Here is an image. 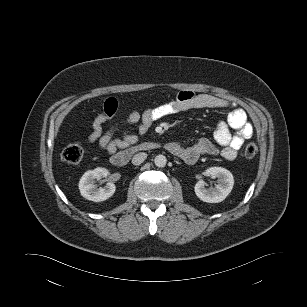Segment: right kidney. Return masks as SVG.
Wrapping results in <instances>:
<instances>
[{"instance_id":"1","label":"right kidney","mask_w":307,"mask_h":307,"mask_svg":"<svg viewBox=\"0 0 307 307\" xmlns=\"http://www.w3.org/2000/svg\"><path fill=\"white\" fill-rule=\"evenodd\" d=\"M108 175L109 172L105 168H96L85 172L79 181L81 195L94 202H101L110 198L115 192V185L112 182H108L105 187L97 188L94 181Z\"/></svg>"}]
</instances>
